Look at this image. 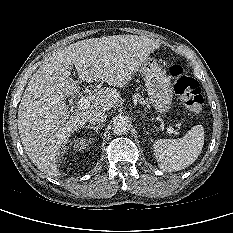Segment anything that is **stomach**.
I'll list each match as a JSON object with an SVG mask.
<instances>
[{
    "mask_svg": "<svg viewBox=\"0 0 233 233\" xmlns=\"http://www.w3.org/2000/svg\"><path fill=\"white\" fill-rule=\"evenodd\" d=\"M137 72L144 76L149 102L157 112L166 113L173 100V87L165 70L149 56Z\"/></svg>",
    "mask_w": 233,
    "mask_h": 233,
    "instance_id": "stomach-1",
    "label": "stomach"
}]
</instances>
